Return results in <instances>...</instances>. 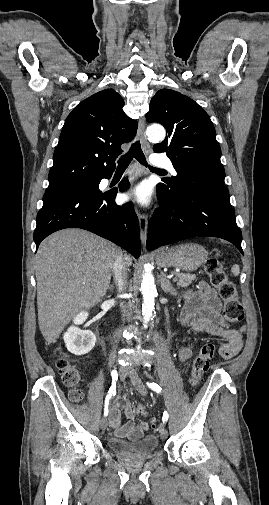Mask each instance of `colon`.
<instances>
[{
  "label": "colon",
  "instance_id": "5ec220e1",
  "mask_svg": "<svg viewBox=\"0 0 269 505\" xmlns=\"http://www.w3.org/2000/svg\"><path fill=\"white\" fill-rule=\"evenodd\" d=\"M204 268L211 285L218 290L219 297L224 303L223 317L225 325L240 322L244 318V309L239 300L237 288L228 278L222 263L216 258H209L206 260ZM214 354L215 346L208 343L202 346L200 352L193 360L189 379L192 389H196V387L200 384ZM56 366L62 375L65 385L72 387L69 394L70 399L73 402L81 401L83 393L79 388H77L80 381L79 371L67 358H59L56 362ZM136 410L139 415L146 414V409L141 404L137 406Z\"/></svg>",
  "mask_w": 269,
  "mask_h": 505
}]
</instances>
